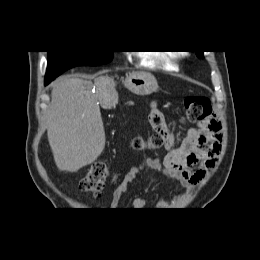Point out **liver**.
<instances>
[{"label":"liver","mask_w":260,"mask_h":260,"mask_svg":"<svg viewBox=\"0 0 260 260\" xmlns=\"http://www.w3.org/2000/svg\"><path fill=\"white\" fill-rule=\"evenodd\" d=\"M116 98L114 80L107 75L95 78L94 84L62 77L53 85L47 135L59 170L77 172L100 156L106 139L98 100Z\"/></svg>","instance_id":"1"}]
</instances>
